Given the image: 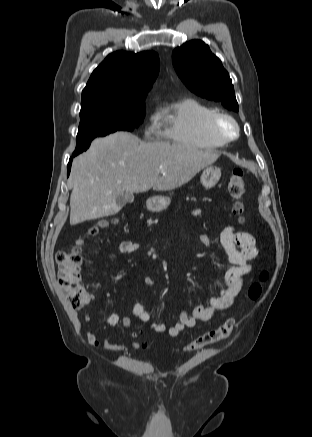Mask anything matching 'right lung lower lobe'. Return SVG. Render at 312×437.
I'll use <instances>...</instances> for the list:
<instances>
[{
  "mask_svg": "<svg viewBox=\"0 0 312 437\" xmlns=\"http://www.w3.org/2000/svg\"><path fill=\"white\" fill-rule=\"evenodd\" d=\"M71 163H72V158H70L69 163H68V169H67V175L68 176H69L70 169H71Z\"/></svg>",
  "mask_w": 312,
  "mask_h": 437,
  "instance_id": "right-lung-lower-lobe-1",
  "label": "right lung lower lobe"
}]
</instances>
